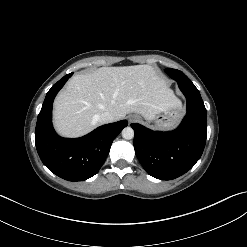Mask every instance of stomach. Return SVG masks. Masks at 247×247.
Segmentation results:
<instances>
[{"label":"stomach","instance_id":"0dacf381","mask_svg":"<svg viewBox=\"0 0 247 247\" xmlns=\"http://www.w3.org/2000/svg\"><path fill=\"white\" fill-rule=\"evenodd\" d=\"M184 108L179 102L177 106L169 108L161 115L153 119V128L158 130H170L175 128L184 116Z\"/></svg>","mask_w":247,"mask_h":247}]
</instances>
